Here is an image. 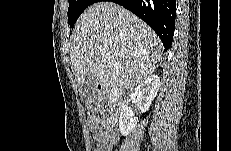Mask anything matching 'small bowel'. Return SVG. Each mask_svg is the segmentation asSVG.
I'll return each instance as SVG.
<instances>
[{"label": "small bowel", "mask_w": 231, "mask_h": 151, "mask_svg": "<svg viewBox=\"0 0 231 151\" xmlns=\"http://www.w3.org/2000/svg\"><path fill=\"white\" fill-rule=\"evenodd\" d=\"M114 121L109 116L92 115L89 117L88 125L96 143L95 151L113 150L118 138Z\"/></svg>", "instance_id": "small-bowel-1"}]
</instances>
